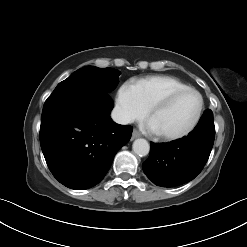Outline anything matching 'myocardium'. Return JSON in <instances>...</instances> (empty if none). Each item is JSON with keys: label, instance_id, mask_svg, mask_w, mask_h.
I'll use <instances>...</instances> for the list:
<instances>
[{"label": "myocardium", "instance_id": "1", "mask_svg": "<svg viewBox=\"0 0 247 247\" xmlns=\"http://www.w3.org/2000/svg\"><path fill=\"white\" fill-rule=\"evenodd\" d=\"M187 92H193L195 94H197V96L199 97L200 100V104H199V108L197 110L196 116L194 118V120L192 121V123L182 132L177 133V134H172V135H168V134H160V133H156V136L163 140V141H176V140H180L183 139L185 137H187L188 135H190L198 126V124L201 121L202 115H203V111H204V107H205V100L203 95L201 94L200 91H198L196 88L193 87H186V88H182V89H177V90H173L169 93H167L166 95H164L163 97H161L159 100H157L155 103H153L149 110H148V118H151L156 112L165 109L166 107H168L172 101L178 97L181 94L187 93Z\"/></svg>", "mask_w": 247, "mask_h": 247}]
</instances>
